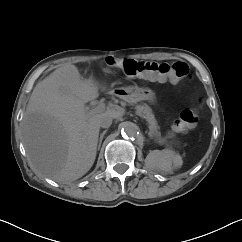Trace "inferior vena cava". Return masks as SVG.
<instances>
[{"label": "inferior vena cava", "instance_id": "obj_1", "mask_svg": "<svg viewBox=\"0 0 242 242\" xmlns=\"http://www.w3.org/2000/svg\"><path fill=\"white\" fill-rule=\"evenodd\" d=\"M100 127L109 128L112 124V117L108 114H102L99 120Z\"/></svg>", "mask_w": 242, "mask_h": 242}]
</instances>
